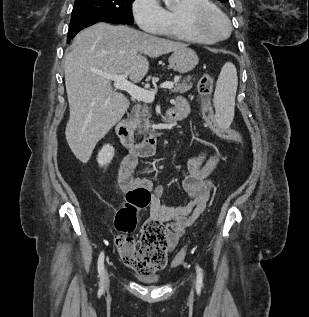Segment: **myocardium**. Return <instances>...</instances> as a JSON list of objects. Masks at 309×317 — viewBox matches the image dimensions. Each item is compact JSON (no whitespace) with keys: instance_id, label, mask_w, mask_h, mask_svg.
Returning a JSON list of instances; mask_svg holds the SVG:
<instances>
[{"instance_id":"1","label":"myocardium","mask_w":309,"mask_h":317,"mask_svg":"<svg viewBox=\"0 0 309 317\" xmlns=\"http://www.w3.org/2000/svg\"><path fill=\"white\" fill-rule=\"evenodd\" d=\"M208 19L222 22L221 31H208L202 24ZM183 27L194 37L205 42H216L225 39L231 31V23L227 15L214 5H197L186 8L182 12Z\"/></svg>"}]
</instances>
